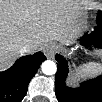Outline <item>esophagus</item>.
<instances>
[{"mask_svg": "<svg viewBox=\"0 0 102 102\" xmlns=\"http://www.w3.org/2000/svg\"><path fill=\"white\" fill-rule=\"evenodd\" d=\"M46 56L48 58H53L54 57L52 49L49 52L46 51Z\"/></svg>", "mask_w": 102, "mask_h": 102, "instance_id": "esophagus-1", "label": "esophagus"}]
</instances>
